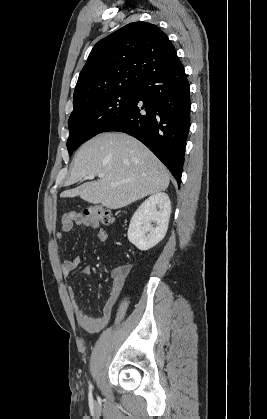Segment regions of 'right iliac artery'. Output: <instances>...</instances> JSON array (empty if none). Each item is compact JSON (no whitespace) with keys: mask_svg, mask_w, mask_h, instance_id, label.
Here are the masks:
<instances>
[{"mask_svg":"<svg viewBox=\"0 0 267 419\" xmlns=\"http://www.w3.org/2000/svg\"><path fill=\"white\" fill-rule=\"evenodd\" d=\"M93 389V386H92V384H90L89 385V390H90V393H91V390Z\"/></svg>","mask_w":267,"mask_h":419,"instance_id":"1","label":"right iliac artery"}]
</instances>
